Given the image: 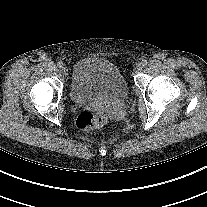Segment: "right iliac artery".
Masks as SVG:
<instances>
[{
	"label": "right iliac artery",
	"instance_id": "82829eb1",
	"mask_svg": "<svg viewBox=\"0 0 207 207\" xmlns=\"http://www.w3.org/2000/svg\"><path fill=\"white\" fill-rule=\"evenodd\" d=\"M63 62L62 61H59L58 63H57V66L59 67V68H62L63 67Z\"/></svg>",
	"mask_w": 207,
	"mask_h": 207
}]
</instances>
